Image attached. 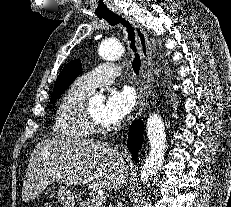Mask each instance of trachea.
Returning a JSON list of instances; mask_svg holds the SVG:
<instances>
[{"label": "trachea", "instance_id": "trachea-1", "mask_svg": "<svg viewBox=\"0 0 231 207\" xmlns=\"http://www.w3.org/2000/svg\"><path fill=\"white\" fill-rule=\"evenodd\" d=\"M100 19H105L110 25L121 24L126 28L128 34V40L130 41V48L134 52V59L132 61V69L136 75L139 74L140 66H141V59L140 55L137 52V47L135 43V32L132 25L121 16L115 13H109L105 15L99 16Z\"/></svg>", "mask_w": 231, "mask_h": 207}]
</instances>
